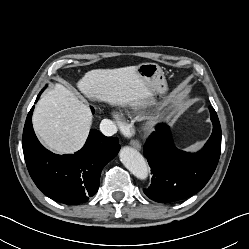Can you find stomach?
<instances>
[{"label":"stomach","mask_w":249,"mask_h":249,"mask_svg":"<svg viewBox=\"0 0 249 249\" xmlns=\"http://www.w3.org/2000/svg\"><path fill=\"white\" fill-rule=\"evenodd\" d=\"M135 69L143 81L159 94H164L167 91V83L164 77V72L156 63H140L135 66Z\"/></svg>","instance_id":"1"}]
</instances>
